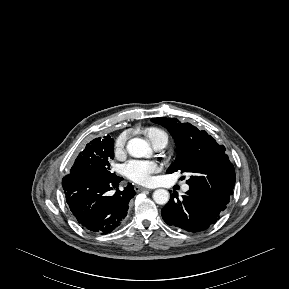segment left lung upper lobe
Segmentation results:
<instances>
[{
  "label": "left lung upper lobe",
  "instance_id": "5c2ea615",
  "mask_svg": "<svg viewBox=\"0 0 289 289\" xmlns=\"http://www.w3.org/2000/svg\"><path fill=\"white\" fill-rule=\"evenodd\" d=\"M173 136L177 146L176 160L167 173L180 170L191 173L187 184L230 198L235 185V169L225 153V147L205 131L176 118H153Z\"/></svg>",
  "mask_w": 289,
  "mask_h": 289
}]
</instances>
